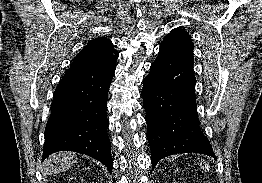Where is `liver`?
<instances>
[{"label": "liver", "mask_w": 262, "mask_h": 183, "mask_svg": "<svg viewBox=\"0 0 262 183\" xmlns=\"http://www.w3.org/2000/svg\"><path fill=\"white\" fill-rule=\"evenodd\" d=\"M75 162L74 154L71 152H59L52 154L44 163V174L51 175L69 169Z\"/></svg>", "instance_id": "1"}]
</instances>
